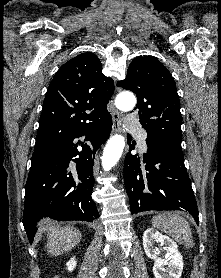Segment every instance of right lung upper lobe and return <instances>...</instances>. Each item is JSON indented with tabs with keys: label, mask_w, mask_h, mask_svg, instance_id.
Listing matches in <instances>:
<instances>
[{
	"label": "right lung upper lobe",
	"mask_w": 221,
	"mask_h": 278,
	"mask_svg": "<svg viewBox=\"0 0 221 278\" xmlns=\"http://www.w3.org/2000/svg\"><path fill=\"white\" fill-rule=\"evenodd\" d=\"M113 92V80L104 76L100 60L92 52L63 64L48 87L34 149L109 116L106 107Z\"/></svg>",
	"instance_id": "right-lung-upper-lobe-1"
}]
</instances>
